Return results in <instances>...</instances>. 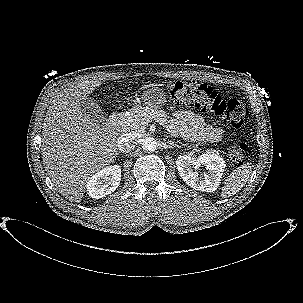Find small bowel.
I'll return each instance as SVG.
<instances>
[{"label": "small bowel", "mask_w": 303, "mask_h": 303, "mask_svg": "<svg viewBox=\"0 0 303 303\" xmlns=\"http://www.w3.org/2000/svg\"><path fill=\"white\" fill-rule=\"evenodd\" d=\"M170 130L189 141L217 143L223 135L221 128L205 124L203 118L192 111L177 112Z\"/></svg>", "instance_id": "obj_1"}]
</instances>
